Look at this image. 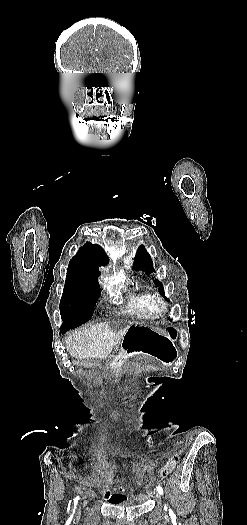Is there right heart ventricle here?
I'll list each match as a JSON object with an SVG mask.
<instances>
[{
    "label": "right heart ventricle",
    "instance_id": "e07e8e85",
    "mask_svg": "<svg viewBox=\"0 0 247 525\" xmlns=\"http://www.w3.org/2000/svg\"><path fill=\"white\" fill-rule=\"evenodd\" d=\"M147 292L137 291L130 294L128 298L127 308L124 310L125 313L136 314L141 317L151 318L152 314L148 309V300L146 296Z\"/></svg>",
    "mask_w": 247,
    "mask_h": 525
}]
</instances>
